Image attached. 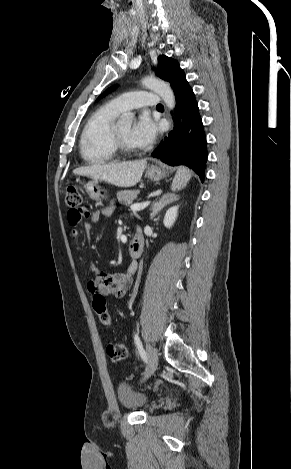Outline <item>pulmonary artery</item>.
<instances>
[{
    "mask_svg": "<svg viewBox=\"0 0 291 469\" xmlns=\"http://www.w3.org/2000/svg\"><path fill=\"white\" fill-rule=\"evenodd\" d=\"M110 103L123 112L141 107H156L160 104V97L149 91H134L121 94Z\"/></svg>",
    "mask_w": 291,
    "mask_h": 469,
    "instance_id": "e3ab8cb5",
    "label": "pulmonary artery"
}]
</instances>
